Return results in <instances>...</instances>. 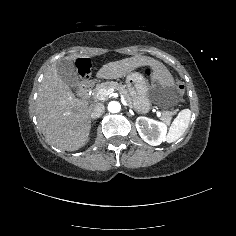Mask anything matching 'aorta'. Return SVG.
<instances>
[{"label": "aorta", "instance_id": "obj_1", "mask_svg": "<svg viewBox=\"0 0 236 236\" xmlns=\"http://www.w3.org/2000/svg\"><path fill=\"white\" fill-rule=\"evenodd\" d=\"M107 109L109 112L111 113H117L120 111L121 109V106H120V103L117 102V101H111L108 103L107 105Z\"/></svg>", "mask_w": 236, "mask_h": 236}]
</instances>
